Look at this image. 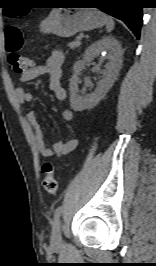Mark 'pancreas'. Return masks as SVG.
Segmentation results:
<instances>
[{"mask_svg": "<svg viewBox=\"0 0 156 266\" xmlns=\"http://www.w3.org/2000/svg\"><path fill=\"white\" fill-rule=\"evenodd\" d=\"M80 45H81V42H80L79 40H76V41L71 42V43L68 44V46H69L71 49L78 48Z\"/></svg>", "mask_w": 156, "mask_h": 266, "instance_id": "1", "label": "pancreas"}]
</instances>
